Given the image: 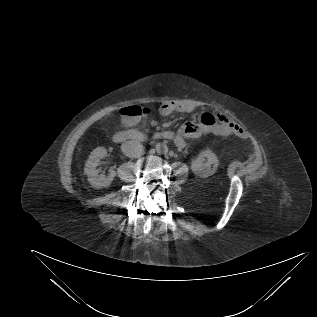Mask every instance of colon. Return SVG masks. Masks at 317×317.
Returning a JSON list of instances; mask_svg holds the SVG:
<instances>
[{
    "label": "colon",
    "instance_id": "obj_1",
    "mask_svg": "<svg viewBox=\"0 0 317 317\" xmlns=\"http://www.w3.org/2000/svg\"><path fill=\"white\" fill-rule=\"evenodd\" d=\"M151 112L149 107L141 106H129L124 109L123 114L129 117H140L142 115H147ZM200 120L207 125H214L218 122L219 117L214 114L203 113L200 116Z\"/></svg>",
    "mask_w": 317,
    "mask_h": 317
}]
</instances>
